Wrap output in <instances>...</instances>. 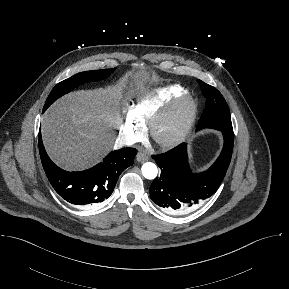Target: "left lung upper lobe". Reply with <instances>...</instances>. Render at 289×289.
<instances>
[{"mask_svg":"<svg viewBox=\"0 0 289 289\" xmlns=\"http://www.w3.org/2000/svg\"><path fill=\"white\" fill-rule=\"evenodd\" d=\"M202 94L207 99L197 130L213 128L217 130H233L228 105L221 93L211 85L198 80Z\"/></svg>","mask_w":289,"mask_h":289,"instance_id":"5c2ea615","label":"left lung upper lobe"}]
</instances>
